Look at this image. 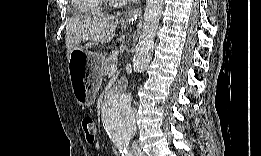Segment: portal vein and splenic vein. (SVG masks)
Returning a JSON list of instances; mask_svg holds the SVG:
<instances>
[{
  "mask_svg": "<svg viewBox=\"0 0 261 156\" xmlns=\"http://www.w3.org/2000/svg\"><path fill=\"white\" fill-rule=\"evenodd\" d=\"M117 69L118 68H117L116 65H112L111 68H110L109 74L113 75L114 73H116Z\"/></svg>",
  "mask_w": 261,
  "mask_h": 156,
  "instance_id": "1",
  "label": "portal vein and splenic vein"
}]
</instances>
